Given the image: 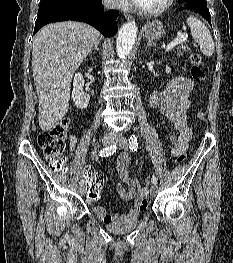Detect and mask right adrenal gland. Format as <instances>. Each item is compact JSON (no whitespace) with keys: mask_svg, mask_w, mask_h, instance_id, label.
<instances>
[{"mask_svg":"<svg viewBox=\"0 0 233 263\" xmlns=\"http://www.w3.org/2000/svg\"><path fill=\"white\" fill-rule=\"evenodd\" d=\"M98 45L99 41L95 42L94 46L90 49L89 54H91L93 50L99 51Z\"/></svg>","mask_w":233,"mask_h":263,"instance_id":"obj_1","label":"right adrenal gland"}]
</instances>
